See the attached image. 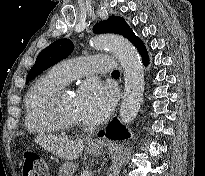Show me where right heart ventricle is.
Returning a JSON list of instances; mask_svg holds the SVG:
<instances>
[{
  "label": "right heart ventricle",
  "mask_w": 205,
  "mask_h": 176,
  "mask_svg": "<svg viewBox=\"0 0 205 176\" xmlns=\"http://www.w3.org/2000/svg\"><path fill=\"white\" fill-rule=\"evenodd\" d=\"M65 85L51 71L32 84L24 100L25 125L30 133L51 134L59 130L49 114L48 102L52 94Z\"/></svg>",
  "instance_id": "e07e8e85"
}]
</instances>
